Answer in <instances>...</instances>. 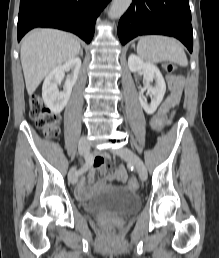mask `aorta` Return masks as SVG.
<instances>
[{"label":"aorta","mask_w":219,"mask_h":258,"mask_svg":"<svg viewBox=\"0 0 219 258\" xmlns=\"http://www.w3.org/2000/svg\"><path fill=\"white\" fill-rule=\"evenodd\" d=\"M132 0H113L109 9L110 19L120 18L130 6Z\"/></svg>","instance_id":"aorta-1"}]
</instances>
